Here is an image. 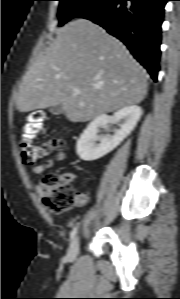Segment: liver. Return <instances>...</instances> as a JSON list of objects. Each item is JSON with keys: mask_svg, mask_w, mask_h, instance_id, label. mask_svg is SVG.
Segmentation results:
<instances>
[{"mask_svg": "<svg viewBox=\"0 0 180 299\" xmlns=\"http://www.w3.org/2000/svg\"><path fill=\"white\" fill-rule=\"evenodd\" d=\"M146 94V71L126 47L100 26L77 19L58 30L27 71L16 105L29 112L61 104L69 121L85 122L136 105Z\"/></svg>", "mask_w": 180, "mask_h": 299, "instance_id": "liver-1", "label": "liver"}]
</instances>
